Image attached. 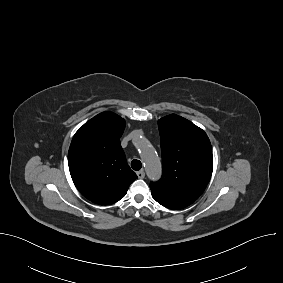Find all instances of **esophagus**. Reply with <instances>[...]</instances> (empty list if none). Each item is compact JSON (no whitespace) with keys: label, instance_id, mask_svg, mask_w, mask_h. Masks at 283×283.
<instances>
[{"label":"esophagus","instance_id":"1","mask_svg":"<svg viewBox=\"0 0 283 283\" xmlns=\"http://www.w3.org/2000/svg\"><path fill=\"white\" fill-rule=\"evenodd\" d=\"M137 176L140 179H143L145 177V172L143 170H140L137 172Z\"/></svg>","mask_w":283,"mask_h":283}]
</instances>
